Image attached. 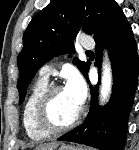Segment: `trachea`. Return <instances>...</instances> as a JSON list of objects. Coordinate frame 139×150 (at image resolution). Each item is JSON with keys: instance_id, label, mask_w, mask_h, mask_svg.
Here are the masks:
<instances>
[{"instance_id": "trachea-1", "label": "trachea", "mask_w": 139, "mask_h": 150, "mask_svg": "<svg viewBox=\"0 0 139 150\" xmlns=\"http://www.w3.org/2000/svg\"><path fill=\"white\" fill-rule=\"evenodd\" d=\"M87 53H92L91 51H87Z\"/></svg>"}]
</instances>
